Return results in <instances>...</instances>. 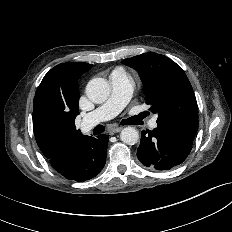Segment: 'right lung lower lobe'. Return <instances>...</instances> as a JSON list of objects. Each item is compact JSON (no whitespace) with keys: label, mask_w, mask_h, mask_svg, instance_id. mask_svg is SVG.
<instances>
[{"label":"right lung lower lobe","mask_w":232,"mask_h":232,"mask_svg":"<svg viewBox=\"0 0 232 232\" xmlns=\"http://www.w3.org/2000/svg\"><path fill=\"white\" fill-rule=\"evenodd\" d=\"M108 140V136L102 134L98 137L84 136L72 143L64 165L56 171L78 182L95 177L105 165Z\"/></svg>","instance_id":"obj_1"}]
</instances>
